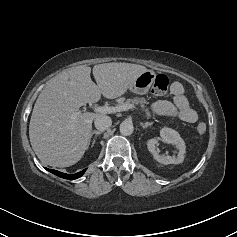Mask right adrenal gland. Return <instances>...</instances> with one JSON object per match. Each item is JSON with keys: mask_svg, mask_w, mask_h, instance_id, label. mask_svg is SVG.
<instances>
[{"mask_svg": "<svg viewBox=\"0 0 237 237\" xmlns=\"http://www.w3.org/2000/svg\"><path fill=\"white\" fill-rule=\"evenodd\" d=\"M102 132H103V131L93 130V131L90 133V135H89L88 146L90 145V141H91L92 136L95 134L94 141H93V143H92V145H91V146L93 147L94 144H95V141H96V139H97V135L101 134Z\"/></svg>", "mask_w": 237, "mask_h": 237, "instance_id": "2a0ac1e0", "label": "right adrenal gland"}]
</instances>
